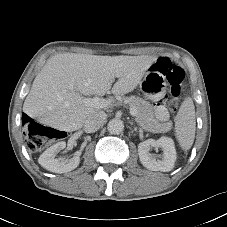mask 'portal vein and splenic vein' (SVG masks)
I'll return each mask as SVG.
<instances>
[{"label":"portal vein and splenic vein","instance_id":"portal-vein-and-splenic-vein-1","mask_svg":"<svg viewBox=\"0 0 227 227\" xmlns=\"http://www.w3.org/2000/svg\"><path fill=\"white\" fill-rule=\"evenodd\" d=\"M83 103L88 105V106L96 107V108H105L108 105H110L109 100L101 99L98 96H95L93 98H84ZM130 114L133 117H135L137 115V110L134 107H130Z\"/></svg>","mask_w":227,"mask_h":227}]
</instances>
